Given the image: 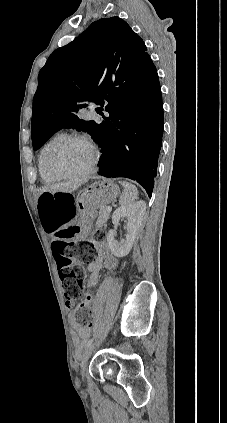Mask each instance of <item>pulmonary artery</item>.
I'll return each instance as SVG.
<instances>
[{"label": "pulmonary artery", "instance_id": "e3ab8cb5", "mask_svg": "<svg viewBox=\"0 0 227 423\" xmlns=\"http://www.w3.org/2000/svg\"><path fill=\"white\" fill-rule=\"evenodd\" d=\"M80 118L82 120H91L92 118L93 119H97L98 117H97V115L94 112H91V111H82L80 113Z\"/></svg>", "mask_w": 227, "mask_h": 423}]
</instances>
